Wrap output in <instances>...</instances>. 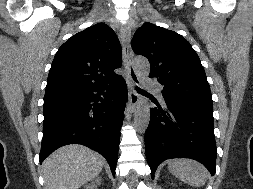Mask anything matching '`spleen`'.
<instances>
[{"mask_svg":"<svg viewBox=\"0 0 253 189\" xmlns=\"http://www.w3.org/2000/svg\"><path fill=\"white\" fill-rule=\"evenodd\" d=\"M168 169L175 177L191 186L204 185L208 177L205 167L191 159L169 160Z\"/></svg>","mask_w":253,"mask_h":189,"instance_id":"spleen-1","label":"spleen"}]
</instances>
